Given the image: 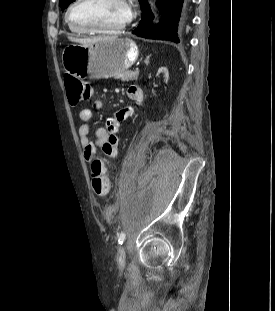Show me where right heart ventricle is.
I'll list each match as a JSON object with an SVG mask.
<instances>
[{
    "label": "right heart ventricle",
    "instance_id": "e07e8e85",
    "mask_svg": "<svg viewBox=\"0 0 275 311\" xmlns=\"http://www.w3.org/2000/svg\"><path fill=\"white\" fill-rule=\"evenodd\" d=\"M68 27H69L70 31H72L73 33L84 34L83 31H80V30H78V29H73V28H71L69 25H68Z\"/></svg>",
    "mask_w": 275,
    "mask_h": 311
}]
</instances>
